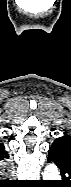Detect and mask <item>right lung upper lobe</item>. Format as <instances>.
<instances>
[{
  "instance_id": "cb5924a9",
  "label": "right lung upper lobe",
  "mask_w": 71,
  "mask_h": 187,
  "mask_svg": "<svg viewBox=\"0 0 71 187\" xmlns=\"http://www.w3.org/2000/svg\"><path fill=\"white\" fill-rule=\"evenodd\" d=\"M0 154L2 158L8 157V153L6 152L4 145L1 143H0Z\"/></svg>"
}]
</instances>
